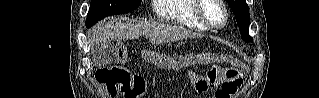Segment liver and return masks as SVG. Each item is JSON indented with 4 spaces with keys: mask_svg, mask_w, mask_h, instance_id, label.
<instances>
[{
    "mask_svg": "<svg viewBox=\"0 0 319 98\" xmlns=\"http://www.w3.org/2000/svg\"><path fill=\"white\" fill-rule=\"evenodd\" d=\"M89 34L91 47L110 44L117 39L133 40L141 35L149 37L152 44L170 43L200 36L181 26L135 20L124 22L117 19L97 24Z\"/></svg>",
    "mask_w": 319,
    "mask_h": 98,
    "instance_id": "6515ba94",
    "label": "liver"
}]
</instances>
